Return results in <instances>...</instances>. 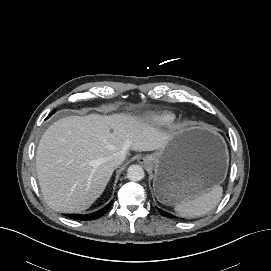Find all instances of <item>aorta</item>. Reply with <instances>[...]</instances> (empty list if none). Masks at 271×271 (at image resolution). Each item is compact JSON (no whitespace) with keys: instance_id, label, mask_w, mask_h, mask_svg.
I'll use <instances>...</instances> for the list:
<instances>
[{"instance_id":"aorta-1","label":"aorta","mask_w":271,"mask_h":271,"mask_svg":"<svg viewBox=\"0 0 271 271\" xmlns=\"http://www.w3.org/2000/svg\"><path fill=\"white\" fill-rule=\"evenodd\" d=\"M127 177L131 181H141L145 177V172L140 165H131L127 170Z\"/></svg>"}]
</instances>
